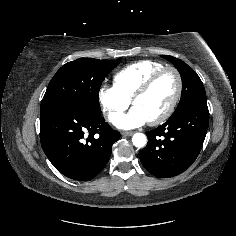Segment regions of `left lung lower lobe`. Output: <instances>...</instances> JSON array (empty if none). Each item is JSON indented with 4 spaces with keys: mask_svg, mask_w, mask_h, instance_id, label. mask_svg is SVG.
Segmentation results:
<instances>
[{
    "mask_svg": "<svg viewBox=\"0 0 236 236\" xmlns=\"http://www.w3.org/2000/svg\"><path fill=\"white\" fill-rule=\"evenodd\" d=\"M209 125L207 102L188 106L163 125L147 131V146L139 156L154 176L169 178L184 172L197 158Z\"/></svg>",
    "mask_w": 236,
    "mask_h": 236,
    "instance_id": "obj_1",
    "label": "left lung lower lobe"
}]
</instances>
